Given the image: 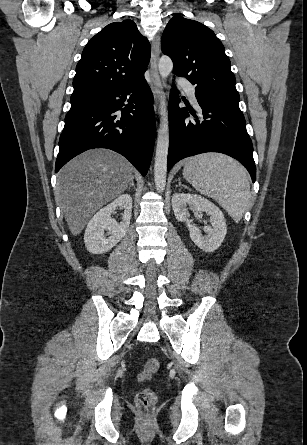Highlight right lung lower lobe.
Masks as SVG:
<instances>
[{
  "label": "right lung lower lobe",
  "mask_w": 307,
  "mask_h": 445,
  "mask_svg": "<svg viewBox=\"0 0 307 445\" xmlns=\"http://www.w3.org/2000/svg\"><path fill=\"white\" fill-rule=\"evenodd\" d=\"M154 135L153 95L144 77L129 85L72 98L55 172L83 151L109 148L125 156L145 176Z\"/></svg>",
  "instance_id": "1"
}]
</instances>
